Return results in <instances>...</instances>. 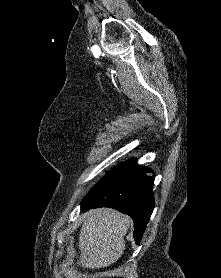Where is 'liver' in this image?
<instances>
[{"instance_id":"obj_1","label":"liver","mask_w":221,"mask_h":278,"mask_svg":"<svg viewBox=\"0 0 221 278\" xmlns=\"http://www.w3.org/2000/svg\"><path fill=\"white\" fill-rule=\"evenodd\" d=\"M131 222L130 217L114 209L100 208L86 212L79 235L81 254L77 264L99 269L116 262L124 252V236Z\"/></svg>"}]
</instances>
